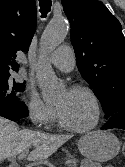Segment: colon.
Segmentation results:
<instances>
[{
    "instance_id": "obj_1",
    "label": "colon",
    "mask_w": 125,
    "mask_h": 167,
    "mask_svg": "<svg viewBox=\"0 0 125 167\" xmlns=\"http://www.w3.org/2000/svg\"><path fill=\"white\" fill-rule=\"evenodd\" d=\"M123 153H124V155H125V143L123 144Z\"/></svg>"
}]
</instances>
